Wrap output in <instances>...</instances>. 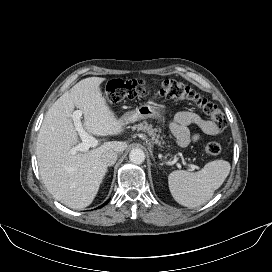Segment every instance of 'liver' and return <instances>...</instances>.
<instances>
[{
  "instance_id": "obj_1",
  "label": "liver",
  "mask_w": 272,
  "mask_h": 272,
  "mask_svg": "<svg viewBox=\"0 0 272 272\" xmlns=\"http://www.w3.org/2000/svg\"><path fill=\"white\" fill-rule=\"evenodd\" d=\"M103 81L102 77L85 78L65 92L47 111L37 138L43 183L56 200L73 209L85 208L95 198L107 171L102 154L110 150L121 153L127 148L126 142L109 141L90 151L70 154L78 143L71 117L75 107L82 111L88 133L107 136L123 132V124L100 90Z\"/></svg>"
}]
</instances>
